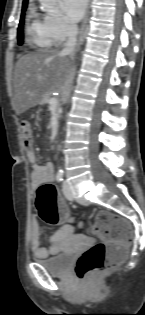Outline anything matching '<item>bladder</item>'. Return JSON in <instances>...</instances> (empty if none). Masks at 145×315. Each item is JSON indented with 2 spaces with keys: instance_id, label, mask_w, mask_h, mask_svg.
<instances>
[{
  "instance_id": "obj_1",
  "label": "bladder",
  "mask_w": 145,
  "mask_h": 315,
  "mask_svg": "<svg viewBox=\"0 0 145 315\" xmlns=\"http://www.w3.org/2000/svg\"><path fill=\"white\" fill-rule=\"evenodd\" d=\"M84 249V248H72ZM74 256H65V251L44 260H39V263L45 270L54 276H63L66 274L73 264Z\"/></svg>"
}]
</instances>
